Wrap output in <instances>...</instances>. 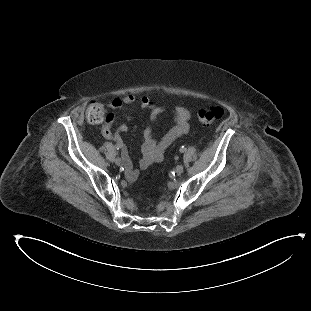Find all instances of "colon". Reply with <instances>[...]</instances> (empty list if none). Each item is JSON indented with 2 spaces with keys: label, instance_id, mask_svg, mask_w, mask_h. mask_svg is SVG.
Returning <instances> with one entry per match:
<instances>
[{
  "label": "colon",
  "instance_id": "1",
  "mask_svg": "<svg viewBox=\"0 0 311 311\" xmlns=\"http://www.w3.org/2000/svg\"><path fill=\"white\" fill-rule=\"evenodd\" d=\"M109 108L103 103H92L86 112V117L91 124H103L106 121L107 110ZM225 111L222 107L216 106L211 108L200 109L198 112L199 122L204 126H209L215 121L221 119Z\"/></svg>",
  "mask_w": 311,
  "mask_h": 311
}]
</instances>
